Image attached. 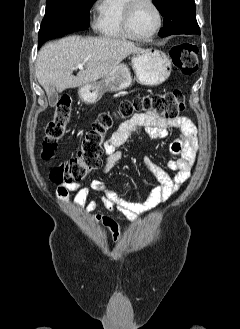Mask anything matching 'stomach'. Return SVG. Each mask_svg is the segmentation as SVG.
Returning <instances> with one entry per match:
<instances>
[{"label":"stomach","instance_id":"0dacf381","mask_svg":"<svg viewBox=\"0 0 240 329\" xmlns=\"http://www.w3.org/2000/svg\"><path fill=\"white\" fill-rule=\"evenodd\" d=\"M132 68L137 81L145 86L162 84L171 73V62L167 55L157 49H146L133 53ZM127 65L119 64L106 76L78 89L80 99L87 104L97 103L105 92L120 91L132 84Z\"/></svg>","mask_w":240,"mask_h":329}]
</instances>
